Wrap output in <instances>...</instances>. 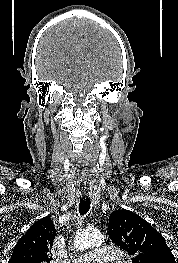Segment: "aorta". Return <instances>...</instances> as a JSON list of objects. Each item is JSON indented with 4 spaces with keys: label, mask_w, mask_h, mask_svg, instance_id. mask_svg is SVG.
<instances>
[{
    "label": "aorta",
    "mask_w": 178,
    "mask_h": 263,
    "mask_svg": "<svg viewBox=\"0 0 178 263\" xmlns=\"http://www.w3.org/2000/svg\"><path fill=\"white\" fill-rule=\"evenodd\" d=\"M104 240V235L99 231H82L76 235L74 246L76 249L83 250L88 247L101 245Z\"/></svg>",
    "instance_id": "obj_1"
}]
</instances>
